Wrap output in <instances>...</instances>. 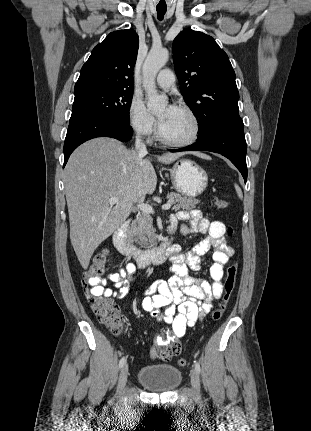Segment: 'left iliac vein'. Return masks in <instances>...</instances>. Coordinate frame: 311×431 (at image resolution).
Listing matches in <instances>:
<instances>
[{
  "label": "left iliac vein",
  "instance_id": "4c4485c4",
  "mask_svg": "<svg viewBox=\"0 0 311 431\" xmlns=\"http://www.w3.org/2000/svg\"><path fill=\"white\" fill-rule=\"evenodd\" d=\"M191 384L194 389V391L199 394L200 392V383H199V375L196 369L191 370Z\"/></svg>",
  "mask_w": 311,
  "mask_h": 431
}]
</instances>
